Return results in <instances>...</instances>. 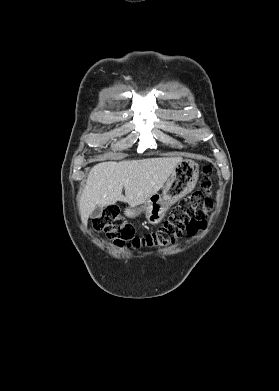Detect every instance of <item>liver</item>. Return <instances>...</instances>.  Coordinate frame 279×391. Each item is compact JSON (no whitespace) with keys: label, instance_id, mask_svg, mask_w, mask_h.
<instances>
[{"label":"liver","instance_id":"liver-1","mask_svg":"<svg viewBox=\"0 0 279 391\" xmlns=\"http://www.w3.org/2000/svg\"><path fill=\"white\" fill-rule=\"evenodd\" d=\"M182 160V157H162L96 164L88 174L79 202L83 224L87 226L88 218L97 206H109L117 201L131 207L143 204L163 187Z\"/></svg>","mask_w":279,"mask_h":391}]
</instances>
